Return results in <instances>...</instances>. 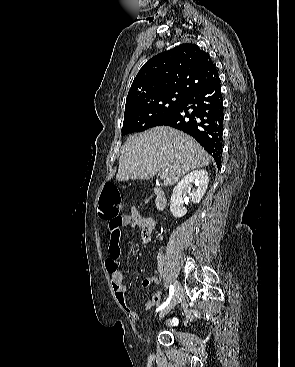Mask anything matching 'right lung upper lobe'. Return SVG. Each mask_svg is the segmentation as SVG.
Masks as SVG:
<instances>
[{"mask_svg": "<svg viewBox=\"0 0 295 367\" xmlns=\"http://www.w3.org/2000/svg\"><path fill=\"white\" fill-rule=\"evenodd\" d=\"M218 78L209 55L195 44H181L147 61L136 75L125 110L138 100L164 93L189 96Z\"/></svg>", "mask_w": 295, "mask_h": 367, "instance_id": "obj_1", "label": "right lung upper lobe"}]
</instances>
